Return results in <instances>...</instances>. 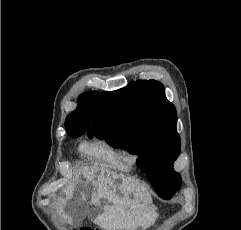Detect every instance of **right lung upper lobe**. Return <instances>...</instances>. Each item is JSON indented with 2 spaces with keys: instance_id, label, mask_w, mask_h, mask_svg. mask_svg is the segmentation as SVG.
Instances as JSON below:
<instances>
[{
  "instance_id": "obj_1",
  "label": "right lung upper lobe",
  "mask_w": 241,
  "mask_h": 230,
  "mask_svg": "<svg viewBox=\"0 0 241 230\" xmlns=\"http://www.w3.org/2000/svg\"><path fill=\"white\" fill-rule=\"evenodd\" d=\"M97 96V91L86 92L79 96L76 110L70 113L65 121L67 133L87 129L93 115Z\"/></svg>"
}]
</instances>
